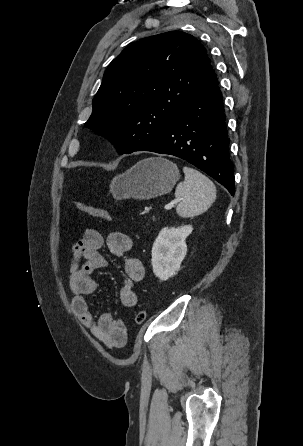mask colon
Listing matches in <instances>:
<instances>
[{
	"mask_svg": "<svg viewBox=\"0 0 303 446\" xmlns=\"http://www.w3.org/2000/svg\"><path fill=\"white\" fill-rule=\"evenodd\" d=\"M75 206L78 210L81 212L90 215L95 218H99L105 222H111L112 218L110 213L103 208H99L93 205H90L85 202L77 201L75 202ZM147 318V311L146 310H140L135 317L136 324H142Z\"/></svg>",
	"mask_w": 303,
	"mask_h": 446,
	"instance_id": "5ec220e1",
	"label": "colon"
}]
</instances>
